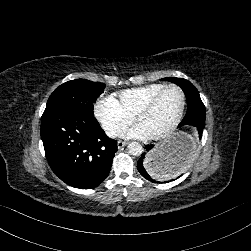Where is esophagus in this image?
<instances>
[{"label": "esophagus", "mask_w": 251, "mask_h": 251, "mask_svg": "<svg viewBox=\"0 0 251 251\" xmlns=\"http://www.w3.org/2000/svg\"><path fill=\"white\" fill-rule=\"evenodd\" d=\"M126 145L125 141L119 140L117 143L118 149H122Z\"/></svg>", "instance_id": "obj_1"}]
</instances>
